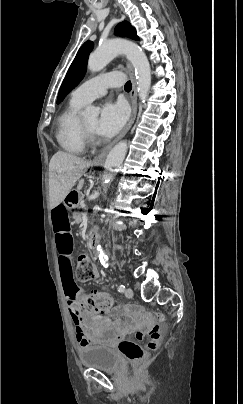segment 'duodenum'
Wrapping results in <instances>:
<instances>
[{
	"mask_svg": "<svg viewBox=\"0 0 243 404\" xmlns=\"http://www.w3.org/2000/svg\"><path fill=\"white\" fill-rule=\"evenodd\" d=\"M63 203L67 208H75L79 203V193L77 190H69L64 197ZM99 240L97 233H92L88 239V246L94 248Z\"/></svg>",
	"mask_w": 243,
	"mask_h": 404,
	"instance_id": "410a0bca",
	"label": "duodenum"
}]
</instances>
